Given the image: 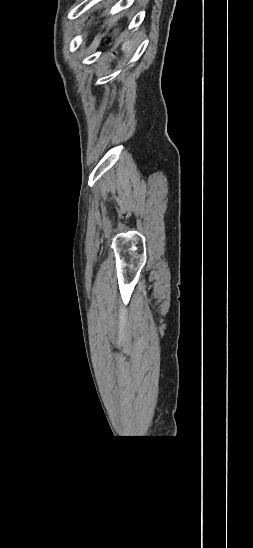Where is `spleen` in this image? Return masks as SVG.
<instances>
[{"label":"spleen","instance_id":"3e777b00","mask_svg":"<svg viewBox=\"0 0 253 548\" xmlns=\"http://www.w3.org/2000/svg\"><path fill=\"white\" fill-rule=\"evenodd\" d=\"M122 50L124 52H131L132 51V46H131L130 41H126V42L123 43Z\"/></svg>","mask_w":253,"mask_h":548}]
</instances>
